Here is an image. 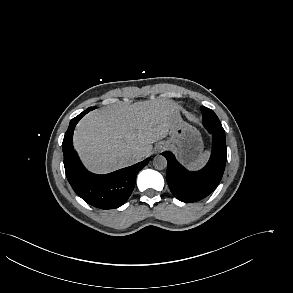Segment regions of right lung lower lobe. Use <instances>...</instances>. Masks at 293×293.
Returning a JSON list of instances; mask_svg holds the SVG:
<instances>
[{
  "label": "right lung lower lobe",
  "instance_id": "right-lung-lower-lobe-1",
  "mask_svg": "<svg viewBox=\"0 0 293 293\" xmlns=\"http://www.w3.org/2000/svg\"><path fill=\"white\" fill-rule=\"evenodd\" d=\"M88 108L70 121L62 150L66 177L76 194L88 204L100 209H113L123 205L131 195L138 172L150 158L140 163L105 175L87 171L79 162L73 148V130L78 121L90 111Z\"/></svg>",
  "mask_w": 293,
  "mask_h": 293
}]
</instances>
